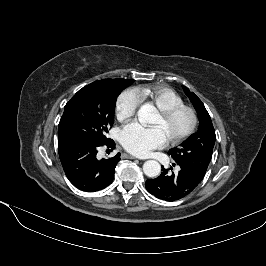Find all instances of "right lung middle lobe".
<instances>
[{"label": "right lung middle lobe", "instance_id": "obj_1", "mask_svg": "<svg viewBox=\"0 0 266 266\" xmlns=\"http://www.w3.org/2000/svg\"><path fill=\"white\" fill-rule=\"evenodd\" d=\"M134 80L103 79L80 89L65 105L58 127V143H104L114 123L116 98Z\"/></svg>", "mask_w": 266, "mask_h": 266}]
</instances>
